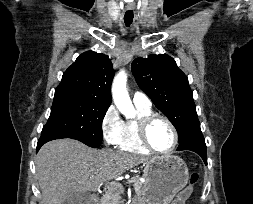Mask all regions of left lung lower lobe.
Masks as SVG:
<instances>
[{
  "label": "left lung lower lobe",
  "instance_id": "obj_1",
  "mask_svg": "<svg viewBox=\"0 0 253 204\" xmlns=\"http://www.w3.org/2000/svg\"><path fill=\"white\" fill-rule=\"evenodd\" d=\"M177 150H190L196 152L207 165L206 145L199 121L191 125L185 138L179 143Z\"/></svg>",
  "mask_w": 253,
  "mask_h": 204
}]
</instances>
